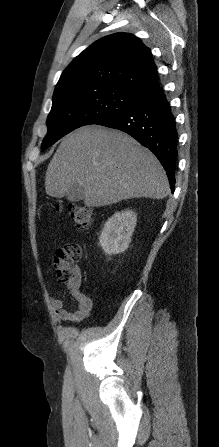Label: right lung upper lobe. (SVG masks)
<instances>
[{"label":"right lung upper lobe","mask_w":219,"mask_h":447,"mask_svg":"<svg viewBox=\"0 0 219 447\" xmlns=\"http://www.w3.org/2000/svg\"><path fill=\"white\" fill-rule=\"evenodd\" d=\"M76 85H109L139 100L160 90L150 49L129 33H115L90 45L63 71L55 91Z\"/></svg>","instance_id":"right-lung-upper-lobe-1"}]
</instances>
